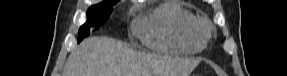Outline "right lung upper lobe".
Listing matches in <instances>:
<instances>
[{
    "mask_svg": "<svg viewBox=\"0 0 287 76\" xmlns=\"http://www.w3.org/2000/svg\"><path fill=\"white\" fill-rule=\"evenodd\" d=\"M117 1H119V0H103L102 3H104V2H117Z\"/></svg>",
    "mask_w": 287,
    "mask_h": 76,
    "instance_id": "1",
    "label": "right lung upper lobe"
}]
</instances>
